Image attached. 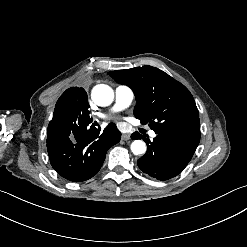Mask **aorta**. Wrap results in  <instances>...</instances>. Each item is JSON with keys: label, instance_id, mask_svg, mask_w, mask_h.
<instances>
[{"label": "aorta", "instance_id": "aorta-1", "mask_svg": "<svg viewBox=\"0 0 247 247\" xmlns=\"http://www.w3.org/2000/svg\"><path fill=\"white\" fill-rule=\"evenodd\" d=\"M91 98L98 106H108L113 102V89L105 84L96 85L92 89ZM146 144L142 140H134L131 144V151L134 155H141L146 152Z\"/></svg>", "mask_w": 247, "mask_h": 247}]
</instances>
